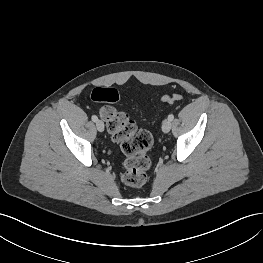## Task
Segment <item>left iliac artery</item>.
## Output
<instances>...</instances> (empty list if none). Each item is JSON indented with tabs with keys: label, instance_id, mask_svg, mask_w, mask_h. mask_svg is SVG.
Masks as SVG:
<instances>
[{
	"label": "left iliac artery",
	"instance_id": "obj_1",
	"mask_svg": "<svg viewBox=\"0 0 263 263\" xmlns=\"http://www.w3.org/2000/svg\"><path fill=\"white\" fill-rule=\"evenodd\" d=\"M173 119H174V115H173V114H170V115L168 116V120L172 121Z\"/></svg>",
	"mask_w": 263,
	"mask_h": 263
}]
</instances>
